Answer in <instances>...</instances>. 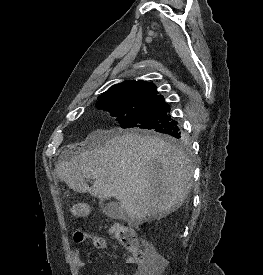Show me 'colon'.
Listing matches in <instances>:
<instances>
[{"mask_svg":"<svg viewBox=\"0 0 263 275\" xmlns=\"http://www.w3.org/2000/svg\"><path fill=\"white\" fill-rule=\"evenodd\" d=\"M71 213L76 219L85 218L88 215V208L84 204H75ZM110 233L121 244L139 266L141 275H158L162 262L156 258L149 257L139 246L135 232L124 224H114L110 227Z\"/></svg>","mask_w":263,"mask_h":275,"instance_id":"5ec220e1","label":"colon"}]
</instances>
